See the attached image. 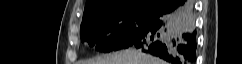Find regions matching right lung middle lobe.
Segmentation results:
<instances>
[{"instance_id": "obj_1", "label": "right lung middle lobe", "mask_w": 242, "mask_h": 64, "mask_svg": "<svg viewBox=\"0 0 242 64\" xmlns=\"http://www.w3.org/2000/svg\"><path fill=\"white\" fill-rule=\"evenodd\" d=\"M158 10L134 8L93 16L81 24V40L104 52L129 47L157 20ZM112 32L109 37H103Z\"/></svg>"}]
</instances>
